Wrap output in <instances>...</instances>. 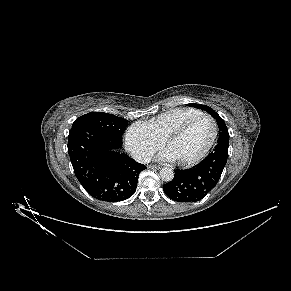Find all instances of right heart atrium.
Here are the masks:
<instances>
[{"instance_id": "d8ad5b80", "label": "right heart atrium", "mask_w": 291, "mask_h": 291, "mask_svg": "<svg viewBox=\"0 0 291 291\" xmlns=\"http://www.w3.org/2000/svg\"><path fill=\"white\" fill-rule=\"evenodd\" d=\"M125 143L130 153L139 161L147 160L162 145V141L140 123L129 127Z\"/></svg>"}]
</instances>
